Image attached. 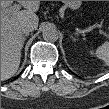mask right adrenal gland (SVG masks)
Here are the masks:
<instances>
[{"label": "right adrenal gland", "mask_w": 109, "mask_h": 109, "mask_svg": "<svg viewBox=\"0 0 109 109\" xmlns=\"http://www.w3.org/2000/svg\"><path fill=\"white\" fill-rule=\"evenodd\" d=\"M26 36H27V35H24V36H23V40H25V37H26Z\"/></svg>", "instance_id": "2a0ac1e0"}]
</instances>
